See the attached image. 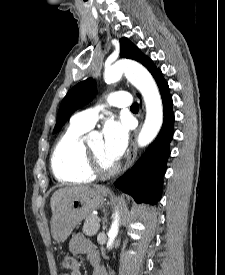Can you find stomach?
I'll return each mask as SVG.
<instances>
[{
  "instance_id": "1",
  "label": "stomach",
  "mask_w": 225,
  "mask_h": 275,
  "mask_svg": "<svg viewBox=\"0 0 225 275\" xmlns=\"http://www.w3.org/2000/svg\"><path fill=\"white\" fill-rule=\"evenodd\" d=\"M105 194L104 187H97L64 197L56 206L50 220L53 239L64 242L83 219L102 206Z\"/></svg>"
}]
</instances>
